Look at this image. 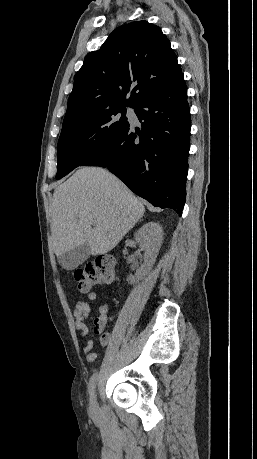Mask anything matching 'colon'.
I'll use <instances>...</instances> for the list:
<instances>
[{
  "mask_svg": "<svg viewBox=\"0 0 257 459\" xmlns=\"http://www.w3.org/2000/svg\"><path fill=\"white\" fill-rule=\"evenodd\" d=\"M115 260L102 256L74 271V280L81 291L86 292L95 285L109 282L114 277Z\"/></svg>",
  "mask_w": 257,
  "mask_h": 459,
  "instance_id": "colon-1",
  "label": "colon"
}]
</instances>
